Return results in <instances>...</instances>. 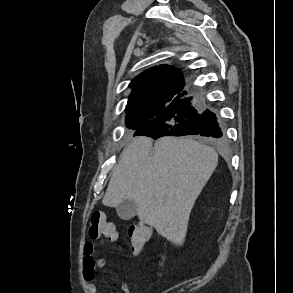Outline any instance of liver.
Returning a JSON list of instances; mask_svg holds the SVG:
<instances>
[{"label":"liver","instance_id":"6515ba94","mask_svg":"<svg viewBox=\"0 0 293 293\" xmlns=\"http://www.w3.org/2000/svg\"><path fill=\"white\" fill-rule=\"evenodd\" d=\"M218 163L217 152L191 138L136 137L123 150L103 204L123 200L137 205V216L176 246H182L191 210Z\"/></svg>","mask_w":293,"mask_h":293}]
</instances>
